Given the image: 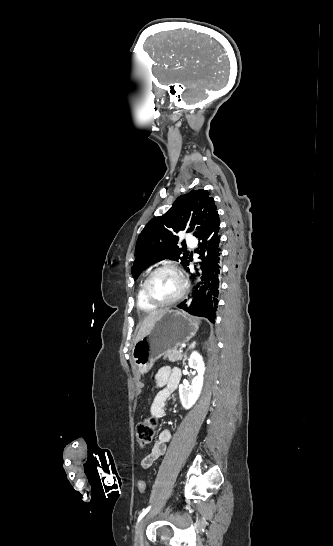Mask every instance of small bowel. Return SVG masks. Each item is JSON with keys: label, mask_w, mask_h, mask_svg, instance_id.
Masks as SVG:
<instances>
[{"label": "small bowel", "mask_w": 333, "mask_h": 546, "mask_svg": "<svg viewBox=\"0 0 333 546\" xmlns=\"http://www.w3.org/2000/svg\"><path fill=\"white\" fill-rule=\"evenodd\" d=\"M181 378V372L177 368L164 367L155 377V387L159 389L155 395L150 412L153 417L159 418L164 414L165 402L171 393L177 388ZM171 439L169 429H162L151 451L141 460L143 468H150L166 452L167 443Z\"/></svg>", "instance_id": "small-bowel-1"}]
</instances>
